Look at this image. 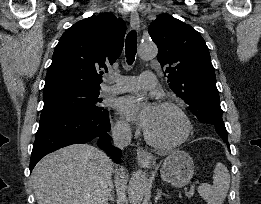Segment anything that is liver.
<instances>
[{
  "label": "liver",
  "mask_w": 261,
  "mask_h": 204,
  "mask_svg": "<svg viewBox=\"0 0 261 204\" xmlns=\"http://www.w3.org/2000/svg\"><path fill=\"white\" fill-rule=\"evenodd\" d=\"M113 167L103 151L89 144L48 154L32 171L37 204H107Z\"/></svg>",
  "instance_id": "6515ba94"
}]
</instances>
